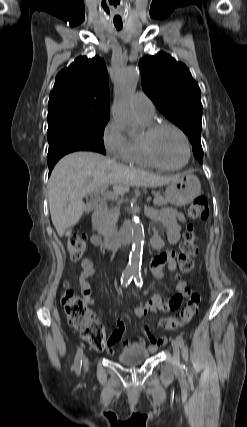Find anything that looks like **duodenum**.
Masks as SVG:
<instances>
[{"label":"duodenum","instance_id":"obj_1","mask_svg":"<svg viewBox=\"0 0 247 427\" xmlns=\"http://www.w3.org/2000/svg\"><path fill=\"white\" fill-rule=\"evenodd\" d=\"M105 204H99L94 210L93 217L98 220L106 211ZM131 237V224L126 223L122 230L116 234H108L103 237V246L107 250H117L122 244L130 241Z\"/></svg>","mask_w":247,"mask_h":427}]
</instances>
